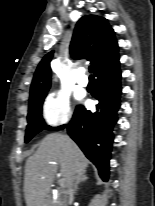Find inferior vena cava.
<instances>
[{
  "instance_id": "1",
  "label": "inferior vena cava",
  "mask_w": 155,
  "mask_h": 206,
  "mask_svg": "<svg viewBox=\"0 0 155 206\" xmlns=\"http://www.w3.org/2000/svg\"><path fill=\"white\" fill-rule=\"evenodd\" d=\"M77 179L76 177V174L75 172L73 171L72 172V176H71V183L68 187V194H69V202H71L72 200V197H73V192H74V189H73V186H74V181Z\"/></svg>"
}]
</instances>
